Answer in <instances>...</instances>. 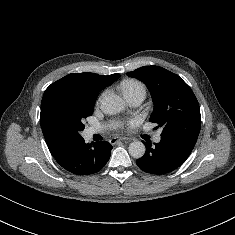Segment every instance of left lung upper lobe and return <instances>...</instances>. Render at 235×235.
<instances>
[{
  "instance_id": "obj_1",
  "label": "left lung upper lobe",
  "mask_w": 235,
  "mask_h": 235,
  "mask_svg": "<svg viewBox=\"0 0 235 235\" xmlns=\"http://www.w3.org/2000/svg\"><path fill=\"white\" fill-rule=\"evenodd\" d=\"M127 75L139 79L149 89L154 103L149 120L163 128L162 137L197 140L201 127L199 104L178 75L159 66H144Z\"/></svg>"
}]
</instances>
